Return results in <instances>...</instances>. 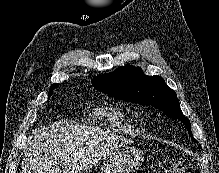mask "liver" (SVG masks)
Instances as JSON below:
<instances>
[{"label": "liver", "mask_w": 219, "mask_h": 173, "mask_svg": "<svg viewBox=\"0 0 219 173\" xmlns=\"http://www.w3.org/2000/svg\"><path fill=\"white\" fill-rule=\"evenodd\" d=\"M125 143L98 128L57 122L33 130L20 173H83Z\"/></svg>", "instance_id": "1"}]
</instances>
